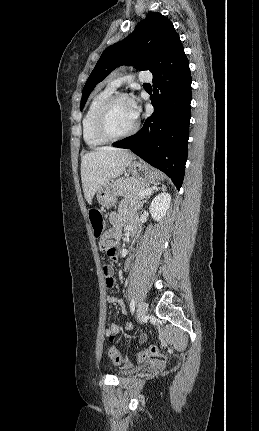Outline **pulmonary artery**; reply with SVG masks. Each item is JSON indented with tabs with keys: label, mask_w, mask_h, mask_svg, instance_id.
I'll return each instance as SVG.
<instances>
[{
	"label": "pulmonary artery",
	"mask_w": 259,
	"mask_h": 431,
	"mask_svg": "<svg viewBox=\"0 0 259 431\" xmlns=\"http://www.w3.org/2000/svg\"><path fill=\"white\" fill-rule=\"evenodd\" d=\"M138 79L140 82H150L152 80V76L149 72H141L138 76ZM122 83V79L120 78H113L109 81V88L116 89L118 88Z\"/></svg>",
	"instance_id": "obj_1"
}]
</instances>
